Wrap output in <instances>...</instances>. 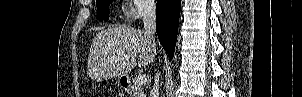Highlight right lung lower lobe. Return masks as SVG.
Instances as JSON below:
<instances>
[{
    "label": "right lung lower lobe",
    "mask_w": 302,
    "mask_h": 97,
    "mask_svg": "<svg viewBox=\"0 0 302 97\" xmlns=\"http://www.w3.org/2000/svg\"><path fill=\"white\" fill-rule=\"evenodd\" d=\"M180 6L181 0H158L156 5V32L170 59L175 50Z\"/></svg>",
    "instance_id": "right-lung-lower-lobe-1"
}]
</instances>
